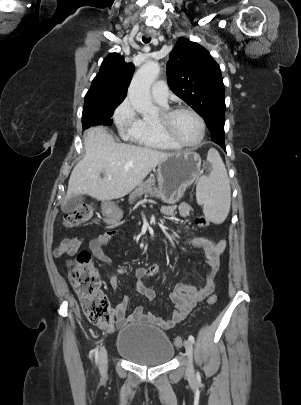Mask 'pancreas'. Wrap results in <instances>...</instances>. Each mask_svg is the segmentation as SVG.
I'll return each mask as SVG.
<instances>
[{"label":"pancreas","mask_w":301,"mask_h":405,"mask_svg":"<svg viewBox=\"0 0 301 405\" xmlns=\"http://www.w3.org/2000/svg\"><path fill=\"white\" fill-rule=\"evenodd\" d=\"M142 195L158 196V191L155 187V180L153 178L140 183L138 187L132 192V194H130L129 202H135L137 198H140Z\"/></svg>","instance_id":"cf45deb5"}]
</instances>
